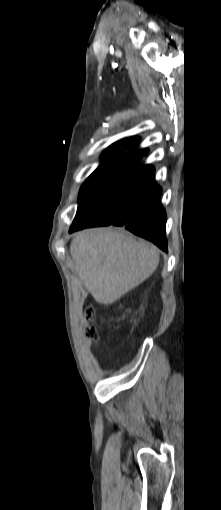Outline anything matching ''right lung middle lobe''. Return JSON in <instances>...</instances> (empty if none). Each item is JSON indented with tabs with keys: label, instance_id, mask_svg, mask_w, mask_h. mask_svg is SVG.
Instances as JSON below:
<instances>
[{
	"label": "right lung middle lobe",
	"instance_id": "dd1d6c3e",
	"mask_svg": "<svg viewBox=\"0 0 221 510\" xmlns=\"http://www.w3.org/2000/svg\"><path fill=\"white\" fill-rule=\"evenodd\" d=\"M147 152L103 156L100 166L90 175L79 193V205H85L100 217L115 216L125 203L142 170L139 164Z\"/></svg>",
	"mask_w": 221,
	"mask_h": 510
}]
</instances>
